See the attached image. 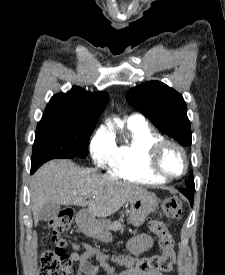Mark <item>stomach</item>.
Returning a JSON list of instances; mask_svg holds the SVG:
<instances>
[{
    "label": "stomach",
    "instance_id": "obj_1",
    "mask_svg": "<svg viewBox=\"0 0 225 275\" xmlns=\"http://www.w3.org/2000/svg\"><path fill=\"white\" fill-rule=\"evenodd\" d=\"M129 201V222L135 227L141 226L146 218L151 213L155 212L159 206V199L151 192L134 195ZM82 228L87 234L103 242H111L113 240V236L105 222H97L93 219H89Z\"/></svg>",
    "mask_w": 225,
    "mask_h": 275
}]
</instances>
